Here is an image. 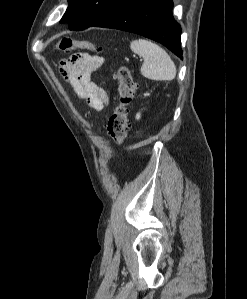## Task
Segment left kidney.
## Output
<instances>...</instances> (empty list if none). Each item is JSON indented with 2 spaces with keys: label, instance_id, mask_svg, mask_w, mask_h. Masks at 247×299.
<instances>
[{
  "label": "left kidney",
  "instance_id": "5707ae66",
  "mask_svg": "<svg viewBox=\"0 0 247 299\" xmlns=\"http://www.w3.org/2000/svg\"><path fill=\"white\" fill-rule=\"evenodd\" d=\"M136 118L139 119V118H140V114H137V115H136Z\"/></svg>",
  "mask_w": 247,
  "mask_h": 299
}]
</instances>
